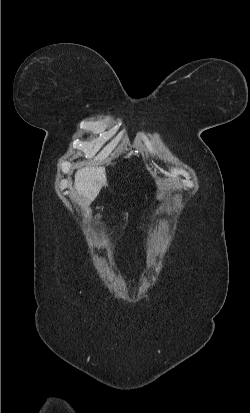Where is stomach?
Masks as SVG:
<instances>
[{"label": "stomach", "instance_id": "0dacf381", "mask_svg": "<svg viewBox=\"0 0 250 413\" xmlns=\"http://www.w3.org/2000/svg\"><path fill=\"white\" fill-rule=\"evenodd\" d=\"M155 198H156L157 200H159V201L164 200L165 194H164V189H163L162 187H159V188L156 190Z\"/></svg>", "mask_w": 250, "mask_h": 413}]
</instances>
